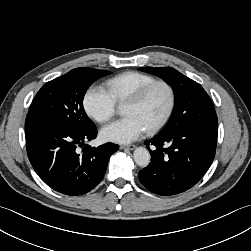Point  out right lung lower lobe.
I'll return each mask as SVG.
<instances>
[{"instance_id":"1","label":"right lung lower lobe","mask_w":251,"mask_h":251,"mask_svg":"<svg viewBox=\"0 0 251 251\" xmlns=\"http://www.w3.org/2000/svg\"><path fill=\"white\" fill-rule=\"evenodd\" d=\"M97 136L96 127L79 132L63 125L26 117L25 137L29 160L39 177L52 189L66 195H81L104 177L110 156L119 149L113 143L97 148L78 146Z\"/></svg>"}]
</instances>
